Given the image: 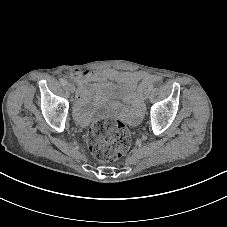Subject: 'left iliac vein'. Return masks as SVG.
Wrapping results in <instances>:
<instances>
[{"label":"left iliac vein","mask_w":227,"mask_h":227,"mask_svg":"<svg viewBox=\"0 0 227 227\" xmlns=\"http://www.w3.org/2000/svg\"><path fill=\"white\" fill-rule=\"evenodd\" d=\"M150 94H151V90L147 89L144 93L145 98L148 99L150 97Z\"/></svg>","instance_id":"4c4485c4"}]
</instances>
